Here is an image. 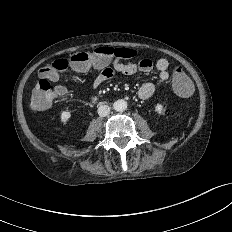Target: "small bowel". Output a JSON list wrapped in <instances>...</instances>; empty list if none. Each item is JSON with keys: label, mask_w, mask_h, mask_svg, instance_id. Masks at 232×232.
Instances as JSON below:
<instances>
[{"label": "small bowel", "mask_w": 232, "mask_h": 232, "mask_svg": "<svg viewBox=\"0 0 232 232\" xmlns=\"http://www.w3.org/2000/svg\"><path fill=\"white\" fill-rule=\"evenodd\" d=\"M96 69L101 70L99 75L93 81V88H99L104 82L114 77L116 74L130 76L138 71L148 73L154 68L158 70L159 79L167 81L169 79V62L165 58L153 61L149 58H142L138 61L124 62L120 58H114L106 63L95 64ZM155 91V85L152 82L143 83L138 90V97L142 100L150 98Z\"/></svg>", "instance_id": "c3829d8e"}]
</instances>
